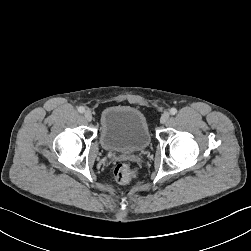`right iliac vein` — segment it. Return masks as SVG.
Returning a JSON list of instances; mask_svg holds the SVG:
<instances>
[{
	"label": "right iliac vein",
	"mask_w": 251,
	"mask_h": 251,
	"mask_svg": "<svg viewBox=\"0 0 251 251\" xmlns=\"http://www.w3.org/2000/svg\"><path fill=\"white\" fill-rule=\"evenodd\" d=\"M84 117L87 121H92L93 119V115H92V112L90 110H86L84 112Z\"/></svg>",
	"instance_id": "right-iliac-vein-1"
}]
</instances>
